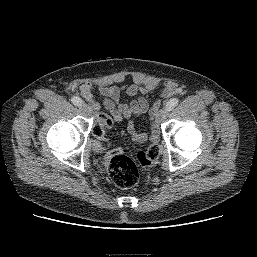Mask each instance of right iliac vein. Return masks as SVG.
<instances>
[{
	"instance_id": "obj_1",
	"label": "right iliac vein",
	"mask_w": 257,
	"mask_h": 257,
	"mask_svg": "<svg viewBox=\"0 0 257 257\" xmlns=\"http://www.w3.org/2000/svg\"><path fill=\"white\" fill-rule=\"evenodd\" d=\"M80 109L87 116L91 114V108L86 103L81 104Z\"/></svg>"
}]
</instances>
